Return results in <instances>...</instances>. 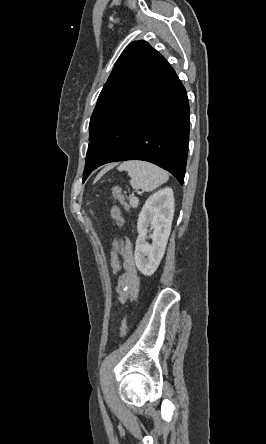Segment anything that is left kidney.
<instances>
[{
    "instance_id": "obj_1",
    "label": "left kidney",
    "mask_w": 266,
    "mask_h": 444,
    "mask_svg": "<svg viewBox=\"0 0 266 444\" xmlns=\"http://www.w3.org/2000/svg\"><path fill=\"white\" fill-rule=\"evenodd\" d=\"M174 215L173 190L169 187L151 195L145 202L138 218V237L134 259L138 270L145 276H151L158 268L168 242ZM152 244L147 242L148 228Z\"/></svg>"
}]
</instances>
